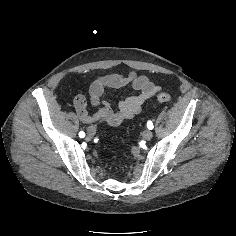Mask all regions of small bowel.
Masks as SVG:
<instances>
[{
    "instance_id": "small-bowel-1",
    "label": "small bowel",
    "mask_w": 236,
    "mask_h": 236,
    "mask_svg": "<svg viewBox=\"0 0 236 236\" xmlns=\"http://www.w3.org/2000/svg\"><path fill=\"white\" fill-rule=\"evenodd\" d=\"M127 85H130L138 94L120 101L117 109H113L107 101L103 100L102 96L105 90H119ZM160 89L147 76L139 75L134 71L126 76L113 73L98 77L89 87L90 102L98 108L94 114H89L87 101L83 95H77L73 103L77 116L82 122L88 124L101 122L110 126H119L125 120L138 115L143 104Z\"/></svg>"
}]
</instances>
